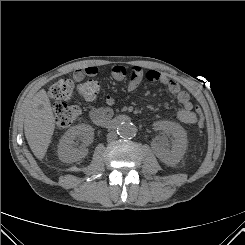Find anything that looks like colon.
<instances>
[{"instance_id":"1","label":"colon","mask_w":245,"mask_h":245,"mask_svg":"<svg viewBox=\"0 0 245 245\" xmlns=\"http://www.w3.org/2000/svg\"><path fill=\"white\" fill-rule=\"evenodd\" d=\"M100 92V84L96 80H87L77 87L71 78H64L57 81L50 89V95L55 100L54 114L56 124L59 128L71 125L81 114L77 105L68 104L74 94L83 100H93ZM198 126H204V118L200 109H196Z\"/></svg>"}]
</instances>
